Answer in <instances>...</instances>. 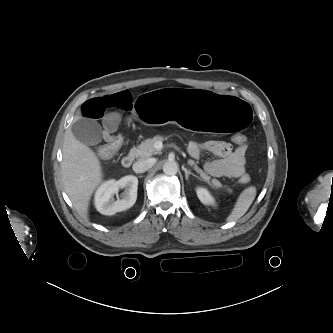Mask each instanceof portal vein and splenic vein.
Masks as SVG:
<instances>
[{
    "label": "portal vein and splenic vein",
    "instance_id": "1",
    "mask_svg": "<svg viewBox=\"0 0 333 333\" xmlns=\"http://www.w3.org/2000/svg\"><path fill=\"white\" fill-rule=\"evenodd\" d=\"M162 147H163L162 142H156V143H155V148H156L157 150H161ZM175 148H177V147L175 146Z\"/></svg>",
    "mask_w": 333,
    "mask_h": 333
}]
</instances>
